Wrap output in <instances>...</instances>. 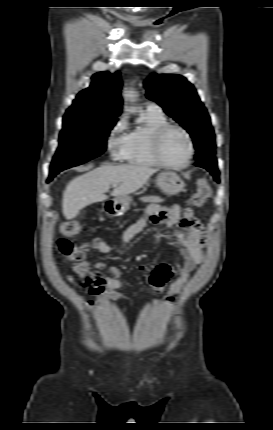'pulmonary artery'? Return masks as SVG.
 Returning <instances> with one entry per match:
<instances>
[{"mask_svg": "<svg viewBox=\"0 0 273 430\" xmlns=\"http://www.w3.org/2000/svg\"><path fill=\"white\" fill-rule=\"evenodd\" d=\"M147 109L153 110V111H160V112H162L161 108L158 105H156V104L149 105Z\"/></svg>", "mask_w": 273, "mask_h": 430, "instance_id": "1", "label": "pulmonary artery"}]
</instances>
